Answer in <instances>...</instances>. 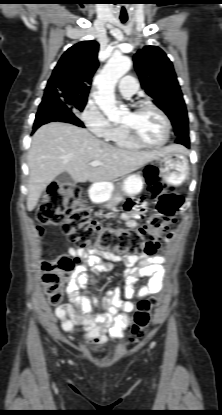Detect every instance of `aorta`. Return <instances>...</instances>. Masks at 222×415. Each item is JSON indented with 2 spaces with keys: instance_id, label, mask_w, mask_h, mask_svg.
Here are the masks:
<instances>
[{
  "instance_id": "aorta-1",
  "label": "aorta",
  "mask_w": 222,
  "mask_h": 415,
  "mask_svg": "<svg viewBox=\"0 0 222 415\" xmlns=\"http://www.w3.org/2000/svg\"><path fill=\"white\" fill-rule=\"evenodd\" d=\"M131 66L132 61L129 57L114 55L94 79L98 88L95 97L96 104L109 119H115L121 115V110L116 105L115 86Z\"/></svg>"
}]
</instances>
